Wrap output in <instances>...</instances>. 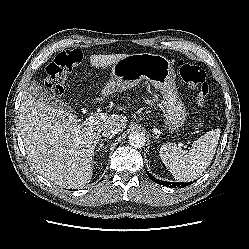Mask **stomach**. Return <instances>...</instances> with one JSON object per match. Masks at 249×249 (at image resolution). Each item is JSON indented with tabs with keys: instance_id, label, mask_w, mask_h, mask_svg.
<instances>
[{
	"instance_id": "obj_1",
	"label": "stomach",
	"mask_w": 249,
	"mask_h": 249,
	"mask_svg": "<svg viewBox=\"0 0 249 249\" xmlns=\"http://www.w3.org/2000/svg\"><path fill=\"white\" fill-rule=\"evenodd\" d=\"M172 62L158 54H131L117 60L111 68L107 85L116 92L136 87L143 79L161 92L163 121L170 133L183 126L186 109L178 97Z\"/></svg>"
}]
</instances>
